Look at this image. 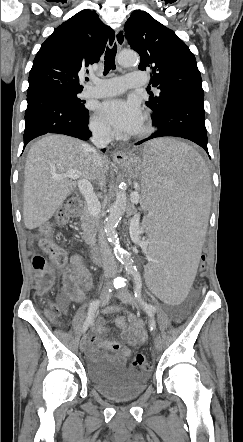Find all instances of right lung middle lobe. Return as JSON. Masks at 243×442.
I'll list each match as a JSON object with an SVG mask.
<instances>
[{
  "label": "right lung middle lobe",
  "instance_id": "obj_1",
  "mask_svg": "<svg viewBox=\"0 0 243 442\" xmlns=\"http://www.w3.org/2000/svg\"><path fill=\"white\" fill-rule=\"evenodd\" d=\"M57 91H60L61 93L69 97L77 106L79 112H81L82 114H88V110L84 106L85 101H82L78 98V94L81 93V91H64V90H57Z\"/></svg>",
  "mask_w": 243,
  "mask_h": 442
}]
</instances>
